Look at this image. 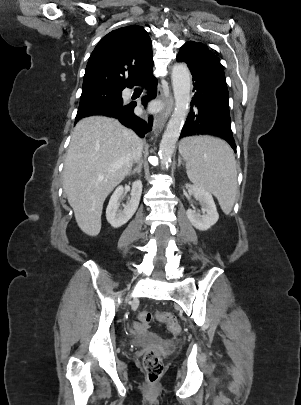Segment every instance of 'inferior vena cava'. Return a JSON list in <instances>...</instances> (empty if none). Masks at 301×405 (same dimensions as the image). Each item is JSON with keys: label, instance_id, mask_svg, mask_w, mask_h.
<instances>
[{"label": "inferior vena cava", "instance_id": "602c4592", "mask_svg": "<svg viewBox=\"0 0 301 405\" xmlns=\"http://www.w3.org/2000/svg\"><path fill=\"white\" fill-rule=\"evenodd\" d=\"M142 149H143V144L141 141H138L134 147L133 153H132V159L134 162H140V159L142 157Z\"/></svg>", "mask_w": 301, "mask_h": 405}]
</instances>
